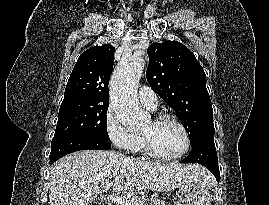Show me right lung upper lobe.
Wrapping results in <instances>:
<instances>
[{"mask_svg": "<svg viewBox=\"0 0 269 205\" xmlns=\"http://www.w3.org/2000/svg\"><path fill=\"white\" fill-rule=\"evenodd\" d=\"M114 50L113 46L106 44L91 47L80 55L66 85L61 106L109 104L108 84Z\"/></svg>", "mask_w": 269, "mask_h": 205, "instance_id": "right-lung-upper-lobe-1", "label": "right lung upper lobe"}]
</instances>
